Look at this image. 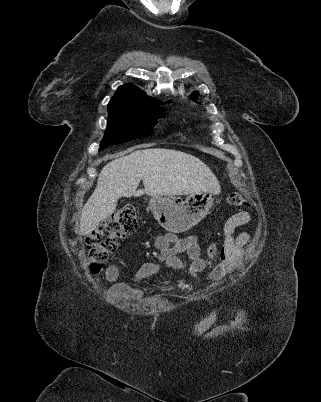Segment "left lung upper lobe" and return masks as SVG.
Listing matches in <instances>:
<instances>
[{"label": "left lung upper lobe", "mask_w": 321, "mask_h": 402, "mask_svg": "<svg viewBox=\"0 0 321 402\" xmlns=\"http://www.w3.org/2000/svg\"><path fill=\"white\" fill-rule=\"evenodd\" d=\"M197 92H194L192 95H191V98L194 100L195 98H196V96H197Z\"/></svg>", "instance_id": "5c2ea615"}]
</instances>
